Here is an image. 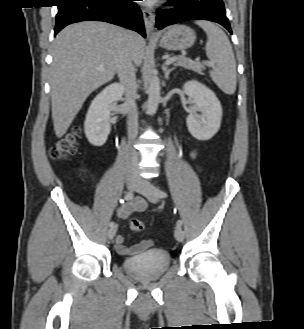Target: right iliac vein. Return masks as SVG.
I'll use <instances>...</instances> for the list:
<instances>
[{
    "label": "right iliac vein",
    "instance_id": "obj_1",
    "mask_svg": "<svg viewBox=\"0 0 304 329\" xmlns=\"http://www.w3.org/2000/svg\"><path fill=\"white\" fill-rule=\"evenodd\" d=\"M126 184H127V188L129 190H135L137 185H138V180L135 178V177H127L126 179ZM117 232V226L114 225L113 227H111L109 230H108V238L109 239H113L115 234Z\"/></svg>",
    "mask_w": 304,
    "mask_h": 329
}]
</instances>
